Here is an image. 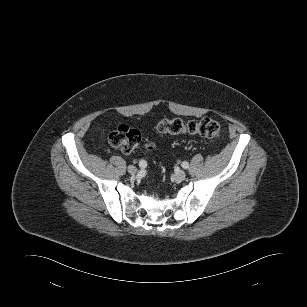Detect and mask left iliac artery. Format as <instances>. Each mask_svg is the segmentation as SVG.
<instances>
[{"instance_id": "1", "label": "left iliac artery", "mask_w": 307, "mask_h": 307, "mask_svg": "<svg viewBox=\"0 0 307 307\" xmlns=\"http://www.w3.org/2000/svg\"><path fill=\"white\" fill-rule=\"evenodd\" d=\"M182 167H183L184 169H188V168H189V163L186 162V161H184V162L182 163Z\"/></svg>"}]
</instances>
